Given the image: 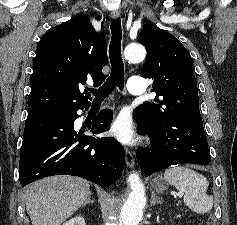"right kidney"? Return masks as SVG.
I'll use <instances>...</instances> for the list:
<instances>
[{"label":"right kidney","mask_w":237,"mask_h":225,"mask_svg":"<svg viewBox=\"0 0 237 225\" xmlns=\"http://www.w3.org/2000/svg\"><path fill=\"white\" fill-rule=\"evenodd\" d=\"M63 225H86L85 220L81 216H76L69 221L65 222Z\"/></svg>","instance_id":"right-kidney-1"}]
</instances>
